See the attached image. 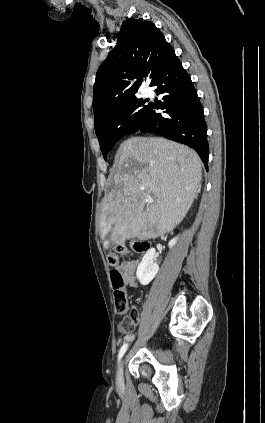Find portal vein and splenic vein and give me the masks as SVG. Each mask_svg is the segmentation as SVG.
Here are the masks:
<instances>
[{
    "label": "portal vein and splenic vein",
    "mask_w": 265,
    "mask_h": 423,
    "mask_svg": "<svg viewBox=\"0 0 265 423\" xmlns=\"http://www.w3.org/2000/svg\"><path fill=\"white\" fill-rule=\"evenodd\" d=\"M146 202H147L148 204H152V203H154V200L152 199V197H151V196H147V198H146Z\"/></svg>",
    "instance_id": "obj_1"
}]
</instances>
